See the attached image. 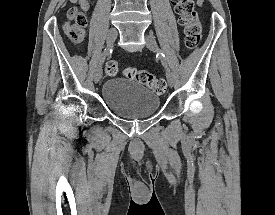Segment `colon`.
Instances as JSON below:
<instances>
[{
  "instance_id": "1",
  "label": "colon",
  "mask_w": 275,
  "mask_h": 215,
  "mask_svg": "<svg viewBox=\"0 0 275 215\" xmlns=\"http://www.w3.org/2000/svg\"><path fill=\"white\" fill-rule=\"evenodd\" d=\"M175 11L179 15V23L184 26L185 45L188 49H194L201 39V24L195 9V0H172ZM87 0H79L78 7H72L68 11L69 22L66 25L65 32L69 40L74 44H80L85 35L87 17L83 12ZM118 71V65L115 61L106 63L105 72L107 75H115ZM126 76L138 83L147 86L157 94H163L166 91V83L147 70L128 67L125 70Z\"/></svg>"
}]
</instances>
